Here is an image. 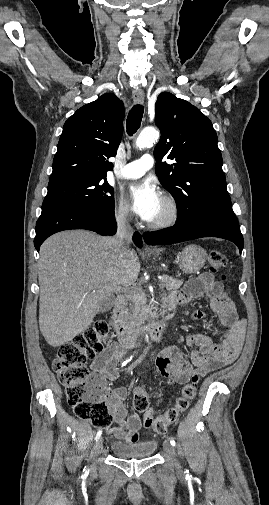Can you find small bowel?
Wrapping results in <instances>:
<instances>
[{
    "label": "small bowel",
    "instance_id": "c3829d8e",
    "mask_svg": "<svg viewBox=\"0 0 269 505\" xmlns=\"http://www.w3.org/2000/svg\"><path fill=\"white\" fill-rule=\"evenodd\" d=\"M204 296L208 298L210 308L220 323L228 330L220 343H215L205 334L189 335L187 344L191 351L188 358L175 346L158 354L157 373L178 384L187 383L194 374L205 376L231 364L238 357L243 345L246 322L238 316L234 303L223 294L222 285L214 280L212 274L204 273L189 281L181 290L169 294L164 302L174 308ZM191 317L198 320L204 317V313L197 310ZM123 355L122 347L113 343L93 361L91 368L103 381V397L117 424L111 429L113 435L127 442H137L141 420L137 414L127 416L123 402L128 396V390L124 387L113 390L105 387L106 380L118 378V363Z\"/></svg>",
    "mask_w": 269,
    "mask_h": 505
}]
</instances>
